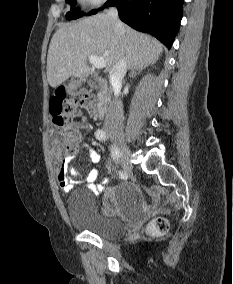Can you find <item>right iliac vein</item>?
<instances>
[{
	"label": "right iliac vein",
	"instance_id": "1",
	"mask_svg": "<svg viewBox=\"0 0 233 284\" xmlns=\"http://www.w3.org/2000/svg\"><path fill=\"white\" fill-rule=\"evenodd\" d=\"M111 138L117 145L121 158H122V164L124 165L125 169L130 171L132 169V164H131V153L126 145L123 137L119 133H113L111 135Z\"/></svg>",
	"mask_w": 233,
	"mask_h": 284
}]
</instances>
